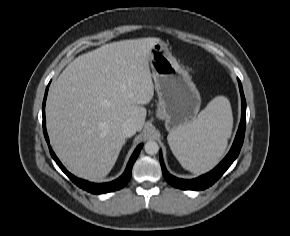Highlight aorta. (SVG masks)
I'll return each instance as SVG.
<instances>
[{"mask_svg": "<svg viewBox=\"0 0 290 236\" xmlns=\"http://www.w3.org/2000/svg\"><path fill=\"white\" fill-rule=\"evenodd\" d=\"M144 150L149 155H155L159 151L158 143L153 140H150L146 142V144L144 145Z\"/></svg>", "mask_w": 290, "mask_h": 236, "instance_id": "aorta-1", "label": "aorta"}]
</instances>
